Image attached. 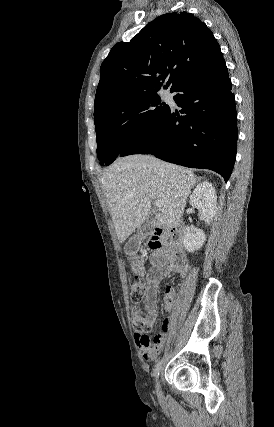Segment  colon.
Returning a JSON list of instances; mask_svg holds the SVG:
<instances>
[{"instance_id": "colon-1", "label": "colon", "mask_w": 274, "mask_h": 427, "mask_svg": "<svg viewBox=\"0 0 274 427\" xmlns=\"http://www.w3.org/2000/svg\"><path fill=\"white\" fill-rule=\"evenodd\" d=\"M138 256L136 254H133L130 256V263H134L137 260ZM142 278H141V273H138V275H135L134 277H132L129 281V286H130V291H131V299H132V303H133V310L131 313V318L133 320L134 323V328L136 330H142V332H146L148 330H150L151 328V323L150 320L143 315V313L138 309V305L142 303V295L139 292V284L142 282ZM165 294L167 296H171L172 295V289L171 287H167L165 289ZM147 340H151L149 334L147 333ZM151 358H152V350H151Z\"/></svg>"}]
</instances>
